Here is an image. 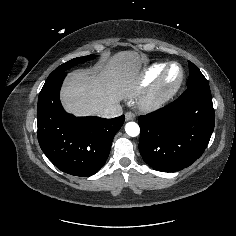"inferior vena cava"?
I'll list each match as a JSON object with an SVG mask.
<instances>
[{
    "instance_id": "inferior-vena-cava-1",
    "label": "inferior vena cava",
    "mask_w": 236,
    "mask_h": 236,
    "mask_svg": "<svg viewBox=\"0 0 236 236\" xmlns=\"http://www.w3.org/2000/svg\"><path fill=\"white\" fill-rule=\"evenodd\" d=\"M122 113H123L122 107L119 104H115V105L105 108L102 111L101 116L103 118H114V117L122 115Z\"/></svg>"
}]
</instances>
